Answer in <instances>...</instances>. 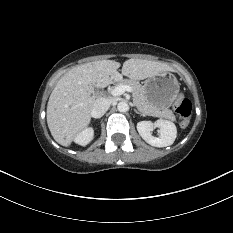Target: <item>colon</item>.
Instances as JSON below:
<instances>
[{"label": "colon", "mask_w": 233, "mask_h": 233, "mask_svg": "<svg viewBox=\"0 0 233 233\" xmlns=\"http://www.w3.org/2000/svg\"><path fill=\"white\" fill-rule=\"evenodd\" d=\"M174 108L181 118V126L187 127L192 112L191 101L184 95H179L174 103Z\"/></svg>", "instance_id": "colon-1"}]
</instances>
